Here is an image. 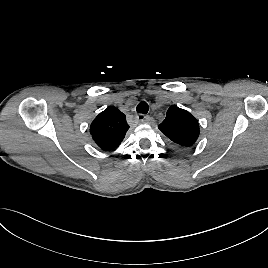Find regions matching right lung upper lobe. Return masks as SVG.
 <instances>
[{
    "mask_svg": "<svg viewBox=\"0 0 268 268\" xmlns=\"http://www.w3.org/2000/svg\"><path fill=\"white\" fill-rule=\"evenodd\" d=\"M129 125L125 115L115 107H108L91 123L90 134L104 151L117 148L123 141Z\"/></svg>",
    "mask_w": 268,
    "mask_h": 268,
    "instance_id": "1",
    "label": "right lung upper lobe"
}]
</instances>
